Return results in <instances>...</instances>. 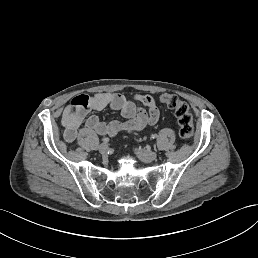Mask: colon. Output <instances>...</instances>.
I'll list each match as a JSON object with an SVG mask.
<instances>
[{
  "instance_id": "1",
  "label": "colon",
  "mask_w": 258,
  "mask_h": 258,
  "mask_svg": "<svg viewBox=\"0 0 258 258\" xmlns=\"http://www.w3.org/2000/svg\"><path fill=\"white\" fill-rule=\"evenodd\" d=\"M160 101L174 112L180 137L190 139L194 134V122L189 105L174 94H163Z\"/></svg>"
}]
</instances>
